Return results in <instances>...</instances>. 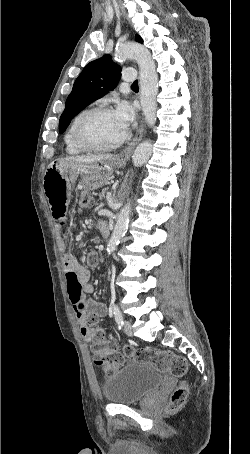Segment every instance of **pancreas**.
Returning a JSON list of instances; mask_svg holds the SVG:
<instances>
[{"instance_id": "pancreas-1", "label": "pancreas", "mask_w": 250, "mask_h": 454, "mask_svg": "<svg viewBox=\"0 0 250 454\" xmlns=\"http://www.w3.org/2000/svg\"><path fill=\"white\" fill-rule=\"evenodd\" d=\"M105 191L106 189H103V191L100 193V199H102L105 196Z\"/></svg>"}]
</instances>
